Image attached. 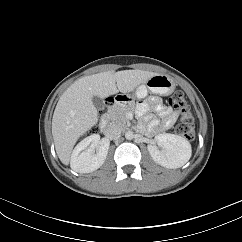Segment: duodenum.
Returning <instances> with one entry per match:
<instances>
[{
	"label": "duodenum",
	"mask_w": 242,
	"mask_h": 242,
	"mask_svg": "<svg viewBox=\"0 0 242 242\" xmlns=\"http://www.w3.org/2000/svg\"><path fill=\"white\" fill-rule=\"evenodd\" d=\"M119 100H120V98L117 97L116 100L113 102V104L117 103ZM100 130L103 133H108L110 131L109 130V123H108V115L103 116V118L100 122Z\"/></svg>",
	"instance_id": "obj_1"
}]
</instances>
